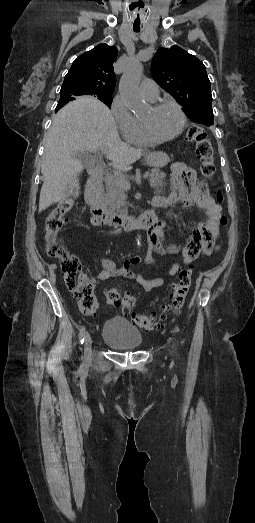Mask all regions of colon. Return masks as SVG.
<instances>
[{
    "mask_svg": "<svg viewBox=\"0 0 255 523\" xmlns=\"http://www.w3.org/2000/svg\"><path fill=\"white\" fill-rule=\"evenodd\" d=\"M186 140L195 144V153L202 175L206 178L213 177L216 171L213 147L206 131L198 125L190 126ZM78 195V187L73 185L70 196L59 202L47 216L45 221L46 251L50 257L61 262L66 286L75 294L80 310L85 314H93L98 308L93 284L83 272L78 257L71 254L58 240V234L65 223L66 215L73 208ZM216 198L219 203L223 201L220 191L217 192ZM219 222L221 225L226 224V217L221 216ZM191 277V268L183 269L180 272L178 279L172 285L170 302L159 318L146 314L134 315V321L138 327L146 331L158 329L170 316L179 314L191 285ZM106 300L109 305L122 306L125 312L131 311L137 302L133 294L125 293L121 296L117 289H109L106 292Z\"/></svg>",
    "mask_w": 255,
    "mask_h": 523,
    "instance_id": "colon-1",
    "label": "colon"
}]
</instances>
